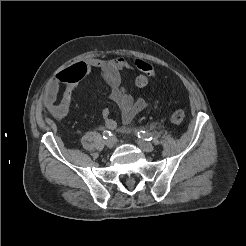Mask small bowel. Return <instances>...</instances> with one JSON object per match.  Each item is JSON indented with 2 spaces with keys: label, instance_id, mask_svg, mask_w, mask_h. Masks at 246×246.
<instances>
[{
  "label": "small bowel",
  "instance_id": "1",
  "mask_svg": "<svg viewBox=\"0 0 246 246\" xmlns=\"http://www.w3.org/2000/svg\"><path fill=\"white\" fill-rule=\"evenodd\" d=\"M131 68V64L123 57L108 60L90 58L73 64L59 71L51 80L43 97L44 107L54 118H65L69 113L77 83L91 70L99 69L101 77L110 87V98L120 108L122 122L128 124L146 107V101L140 97L134 98L122 83L121 72ZM62 85L64 90L59 98ZM102 116L106 128L113 130L117 127L116 121L109 117L107 108L103 109Z\"/></svg>",
  "mask_w": 246,
  "mask_h": 246
}]
</instances>
